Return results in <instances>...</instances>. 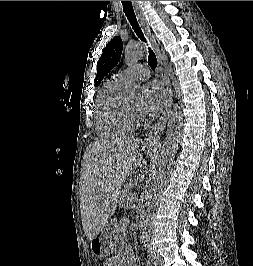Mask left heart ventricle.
<instances>
[{"mask_svg":"<svg viewBox=\"0 0 253 266\" xmlns=\"http://www.w3.org/2000/svg\"><path fill=\"white\" fill-rule=\"evenodd\" d=\"M127 103L129 104L130 108L134 111H137L140 106V101L138 98L128 99Z\"/></svg>","mask_w":253,"mask_h":266,"instance_id":"obj_1","label":"left heart ventricle"}]
</instances>
